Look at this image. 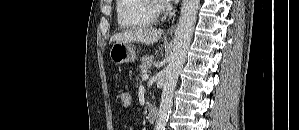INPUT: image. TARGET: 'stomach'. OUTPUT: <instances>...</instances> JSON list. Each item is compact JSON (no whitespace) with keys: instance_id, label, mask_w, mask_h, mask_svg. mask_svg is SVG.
Wrapping results in <instances>:
<instances>
[{"instance_id":"0dacf381","label":"stomach","mask_w":299,"mask_h":130,"mask_svg":"<svg viewBox=\"0 0 299 130\" xmlns=\"http://www.w3.org/2000/svg\"><path fill=\"white\" fill-rule=\"evenodd\" d=\"M109 56L112 62L117 65L134 62L136 60L134 45L131 42H115L110 48Z\"/></svg>"}]
</instances>
